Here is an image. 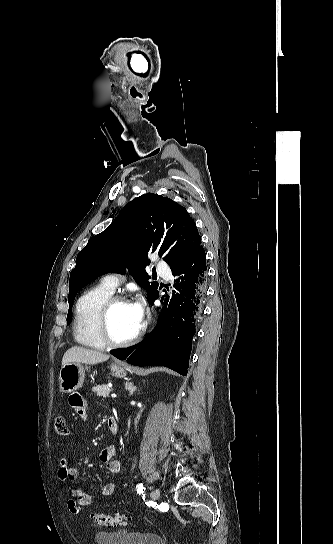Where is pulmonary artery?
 Instances as JSON below:
<instances>
[{
  "mask_svg": "<svg viewBox=\"0 0 333 544\" xmlns=\"http://www.w3.org/2000/svg\"><path fill=\"white\" fill-rule=\"evenodd\" d=\"M156 270H157V273L165 279H169L171 276V272L168 266L163 262H159L157 264ZM120 282H121V278L116 274L106 275L101 280V284H103L106 288H108L112 292L115 291V289L118 287Z\"/></svg>",
  "mask_w": 333,
  "mask_h": 544,
  "instance_id": "obj_1",
  "label": "pulmonary artery"
}]
</instances>
